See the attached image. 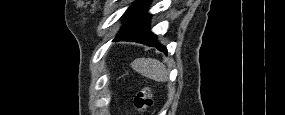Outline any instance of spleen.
I'll return each instance as SVG.
<instances>
[{
	"label": "spleen",
	"mask_w": 285,
	"mask_h": 115,
	"mask_svg": "<svg viewBox=\"0 0 285 115\" xmlns=\"http://www.w3.org/2000/svg\"><path fill=\"white\" fill-rule=\"evenodd\" d=\"M131 66L136 72L157 82H165L168 79L166 66L157 59L137 58Z\"/></svg>",
	"instance_id": "3e777b00"
}]
</instances>
